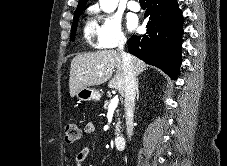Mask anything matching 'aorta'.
I'll use <instances>...</instances> for the list:
<instances>
[{
	"label": "aorta",
	"mask_w": 227,
	"mask_h": 166,
	"mask_svg": "<svg viewBox=\"0 0 227 166\" xmlns=\"http://www.w3.org/2000/svg\"><path fill=\"white\" fill-rule=\"evenodd\" d=\"M100 6L105 12H113L118 4V0H99Z\"/></svg>",
	"instance_id": "1"
}]
</instances>
